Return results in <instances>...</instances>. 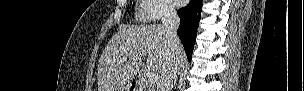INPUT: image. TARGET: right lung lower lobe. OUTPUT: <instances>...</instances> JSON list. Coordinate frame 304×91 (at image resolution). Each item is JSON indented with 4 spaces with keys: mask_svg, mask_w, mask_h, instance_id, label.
<instances>
[{
    "mask_svg": "<svg viewBox=\"0 0 304 91\" xmlns=\"http://www.w3.org/2000/svg\"><path fill=\"white\" fill-rule=\"evenodd\" d=\"M201 7L202 0H191L186 7L179 9L177 12L181 21L177 34L184 46L189 61H191L196 40Z\"/></svg>",
    "mask_w": 304,
    "mask_h": 91,
    "instance_id": "right-lung-lower-lobe-1",
    "label": "right lung lower lobe"
}]
</instances>
